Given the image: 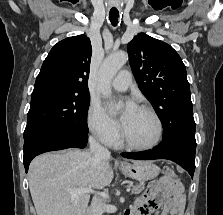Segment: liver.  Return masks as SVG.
I'll use <instances>...</instances> for the list:
<instances>
[{"label": "liver", "mask_w": 223, "mask_h": 215, "mask_svg": "<svg viewBox=\"0 0 223 215\" xmlns=\"http://www.w3.org/2000/svg\"><path fill=\"white\" fill-rule=\"evenodd\" d=\"M133 163H137L133 159ZM113 179L109 157L67 149L42 153L29 167V187L37 215H85L89 193L71 197L77 187H105Z\"/></svg>", "instance_id": "1"}]
</instances>
